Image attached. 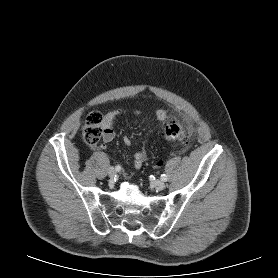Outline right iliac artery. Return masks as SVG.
<instances>
[{"label":"right iliac artery","instance_id":"82829eb1","mask_svg":"<svg viewBox=\"0 0 278 278\" xmlns=\"http://www.w3.org/2000/svg\"><path fill=\"white\" fill-rule=\"evenodd\" d=\"M115 170L116 171H120L121 170V166H119V165L115 166Z\"/></svg>","mask_w":278,"mask_h":278}]
</instances>
